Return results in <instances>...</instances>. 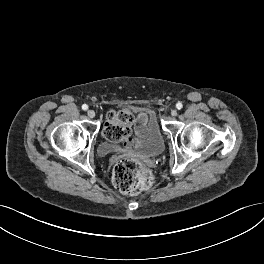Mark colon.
Returning a JSON list of instances; mask_svg holds the SVG:
<instances>
[{"label": "colon", "mask_w": 264, "mask_h": 264, "mask_svg": "<svg viewBox=\"0 0 264 264\" xmlns=\"http://www.w3.org/2000/svg\"><path fill=\"white\" fill-rule=\"evenodd\" d=\"M108 125L104 127V135L113 141H122L130 132L133 120L127 110L112 112L108 115ZM112 182L122 193H138L150 188L154 178L151 171L140 161L133 158H120L112 171Z\"/></svg>", "instance_id": "obj_1"}]
</instances>
